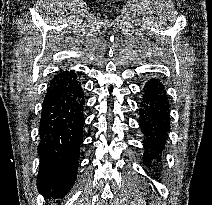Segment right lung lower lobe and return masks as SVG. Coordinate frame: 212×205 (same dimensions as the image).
<instances>
[{
    "label": "right lung lower lobe",
    "mask_w": 212,
    "mask_h": 205,
    "mask_svg": "<svg viewBox=\"0 0 212 205\" xmlns=\"http://www.w3.org/2000/svg\"><path fill=\"white\" fill-rule=\"evenodd\" d=\"M84 104L83 89L74 71L56 73L47 88L39 127L37 187L45 197L65 195L76 180Z\"/></svg>",
    "instance_id": "1"
}]
</instances>
